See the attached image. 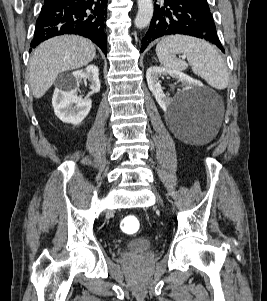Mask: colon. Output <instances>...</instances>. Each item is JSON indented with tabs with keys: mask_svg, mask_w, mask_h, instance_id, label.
Here are the masks:
<instances>
[{
	"mask_svg": "<svg viewBox=\"0 0 267 301\" xmlns=\"http://www.w3.org/2000/svg\"><path fill=\"white\" fill-rule=\"evenodd\" d=\"M140 219L135 215H127L121 221L120 228L126 234H135L140 230Z\"/></svg>",
	"mask_w": 267,
	"mask_h": 301,
	"instance_id": "obj_1",
	"label": "colon"
}]
</instances>
